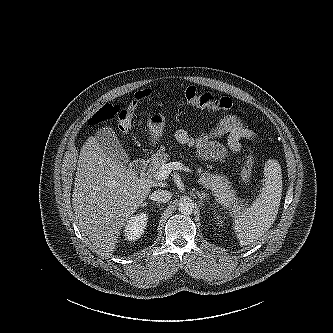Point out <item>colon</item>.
<instances>
[{"instance_id": "5ec220e1", "label": "colon", "mask_w": 333, "mask_h": 333, "mask_svg": "<svg viewBox=\"0 0 333 333\" xmlns=\"http://www.w3.org/2000/svg\"><path fill=\"white\" fill-rule=\"evenodd\" d=\"M152 95L150 89L139 91L134 95L128 106L104 105L90 120L92 126H100L110 122H116L118 127L127 132L131 129L137 105ZM185 101L197 108L209 109L213 111L229 110L232 101L227 97H217L209 91L200 90L194 86L186 88L184 91ZM253 168V158L248 153L241 166V178L244 183H248L251 178Z\"/></svg>"}]
</instances>
